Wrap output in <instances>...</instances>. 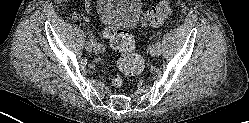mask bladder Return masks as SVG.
<instances>
[{"instance_id": "31cf9c89", "label": "bladder", "mask_w": 249, "mask_h": 123, "mask_svg": "<svg viewBox=\"0 0 249 123\" xmlns=\"http://www.w3.org/2000/svg\"><path fill=\"white\" fill-rule=\"evenodd\" d=\"M96 10L105 25L127 28L139 22L141 0H97Z\"/></svg>"}]
</instances>
